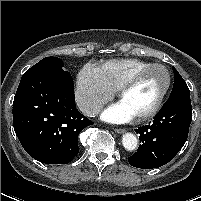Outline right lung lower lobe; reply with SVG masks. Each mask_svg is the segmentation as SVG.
<instances>
[{
    "instance_id": "right-lung-lower-lobe-1",
    "label": "right lung lower lobe",
    "mask_w": 201,
    "mask_h": 201,
    "mask_svg": "<svg viewBox=\"0 0 201 201\" xmlns=\"http://www.w3.org/2000/svg\"><path fill=\"white\" fill-rule=\"evenodd\" d=\"M92 124L76 109L73 82L42 73L22 76L13 102V126L32 158L69 163L79 152V133Z\"/></svg>"
}]
</instances>
